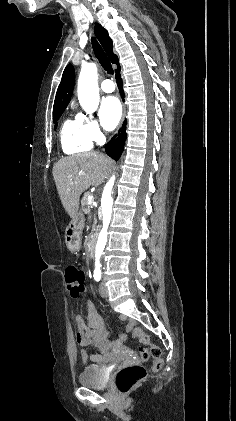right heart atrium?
Listing matches in <instances>:
<instances>
[{
	"mask_svg": "<svg viewBox=\"0 0 236 421\" xmlns=\"http://www.w3.org/2000/svg\"><path fill=\"white\" fill-rule=\"evenodd\" d=\"M77 119L81 122L85 131L87 132L92 141L98 142L103 139V132L101 130L99 122L95 118L80 113L78 114Z\"/></svg>",
	"mask_w": 236,
	"mask_h": 421,
	"instance_id": "1",
	"label": "right heart atrium"
}]
</instances>
